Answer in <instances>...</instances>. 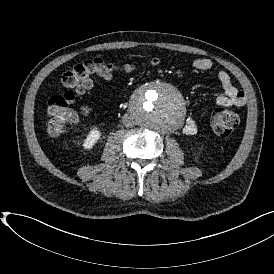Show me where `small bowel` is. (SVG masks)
Here are the masks:
<instances>
[{
	"mask_svg": "<svg viewBox=\"0 0 274 274\" xmlns=\"http://www.w3.org/2000/svg\"><path fill=\"white\" fill-rule=\"evenodd\" d=\"M161 63V58L158 56L151 57L145 62L142 63H121L118 65L114 64H105L97 73L96 75L104 80L105 82H112L114 80L116 73L121 74H131L137 71L140 68H146V67H156ZM193 67L196 70L202 71V72H209L213 69V62L208 58H197L193 61ZM96 78L93 80L89 79L82 87H78L75 90L76 95L81 96L83 95L84 91L92 86L99 87L102 84L101 79ZM217 78L220 81L224 94L219 96L216 99V104L221 107H240L245 105L247 97L246 93L237 88L230 75L220 70L217 72ZM205 112H201V115H204ZM198 130L197 122L194 118H188L183 126V133L185 135L191 136L195 135Z\"/></svg>",
	"mask_w": 274,
	"mask_h": 274,
	"instance_id": "c3829d8e",
	"label": "small bowel"
}]
</instances>
